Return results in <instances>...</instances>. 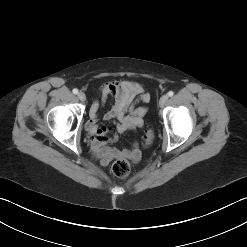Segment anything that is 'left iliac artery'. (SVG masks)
I'll return each instance as SVG.
<instances>
[{
	"mask_svg": "<svg viewBox=\"0 0 247 247\" xmlns=\"http://www.w3.org/2000/svg\"><path fill=\"white\" fill-rule=\"evenodd\" d=\"M168 95H169L170 97H172V96L174 95V92H173V91H169V92H168Z\"/></svg>",
	"mask_w": 247,
	"mask_h": 247,
	"instance_id": "obj_1",
	"label": "left iliac artery"
}]
</instances>
